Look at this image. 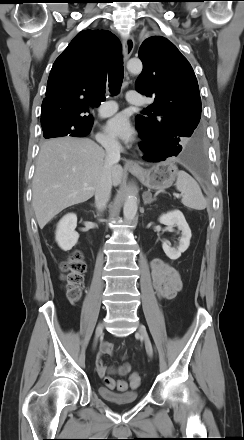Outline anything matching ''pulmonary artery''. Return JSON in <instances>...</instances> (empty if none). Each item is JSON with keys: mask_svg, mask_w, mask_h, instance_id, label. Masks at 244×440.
Masks as SVG:
<instances>
[{"mask_svg": "<svg viewBox=\"0 0 244 440\" xmlns=\"http://www.w3.org/2000/svg\"><path fill=\"white\" fill-rule=\"evenodd\" d=\"M127 101L131 104L135 105H143L145 103L144 98L141 96L140 93L136 91H129L127 93ZM118 109V105L114 101H105L101 104L99 107V113L101 116L106 117L110 116L113 113H115Z\"/></svg>", "mask_w": 244, "mask_h": 440, "instance_id": "e3ab8cb5", "label": "pulmonary artery"}]
</instances>
